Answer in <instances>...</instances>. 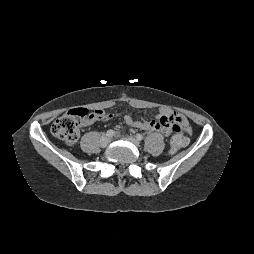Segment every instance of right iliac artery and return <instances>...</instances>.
<instances>
[{"mask_svg":"<svg viewBox=\"0 0 254 254\" xmlns=\"http://www.w3.org/2000/svg\"><path fill=\"white\" fill-rule=\"evenodd\" d=\"M106 135H107L108 137H112V136L115 135V131L110 129V130L107 131Z\"/></svg>","mask_w":254,"mask_h":254,"instance_id":"obj_1","label":"right iliac artery"}]
</instances>
